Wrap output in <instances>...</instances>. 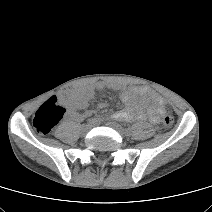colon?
<instances>
[{
    "label": "colon",
    "instance_id": "1",
    "mask_svg": "<svg viewBox=\"0 0 212 212\" xmlns=\"http://www.w3.org/2000/svg\"><path fill=\"white\" fill-rule=\"evenodd\" d=\"M65 111V108L58 102L55 96L50 97L34 114L33 126L35 130L43 135L50 133L61 121ZM163 123L165 126L170 127L174 123V118L171 115H166L163 118Z\"/></svg>",
    "mask_w": 212,
    "mask_h": 212
}]
</instances>
